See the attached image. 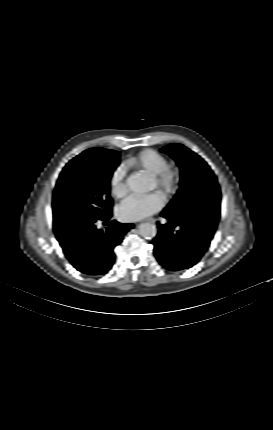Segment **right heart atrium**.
Segmentation results:
<instances>
[{
    "instance_id": "1",
    "label": "right heart atrium",
    "mask_w": 273,
    "mask_h": 430,
    "mask_svg": "<svg viewBox=\"0 0 273 430\" xmlns=\"http://www.w3.org/2000/svg\"><path fill=\"white\" fill-rule=\"evenodd\" d=\"M111 193L115 197H122L127 193L126 169L123 165L117 166L109 179Z\"/></svg>"
}]
</instances>
